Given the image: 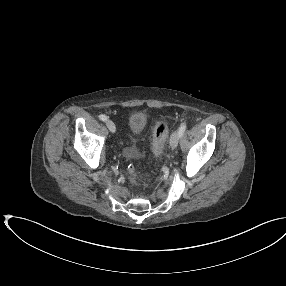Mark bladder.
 <instances>
[{
	"instance_id": "1",
	"label": "bladder",
	"mask_w": 286,
	"mask_h": 286,
	"mask_svg": "<svg viewBox=\"0 0 286 286\" xmlns=\"http://www.w3.org/2000/svg\"><path fill=\"white\" fill-rule=\"evenodd\" d=\"M128 124L130 130L137 134L144 129L146 125V118L142 114H133L129 117Z\"/></svg>"
}]
</instances>
